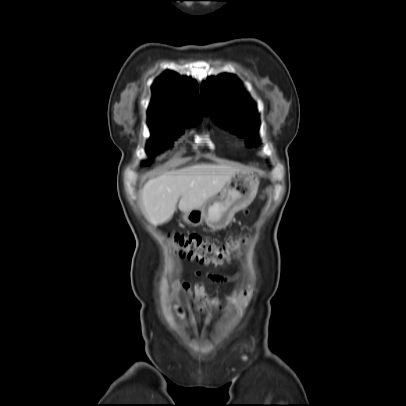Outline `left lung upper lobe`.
<instances>
[{
	"label": "left lung upper lobe",
	"instance_id": "1",
	"mask_svg": "<svg viewBox=\"0 0 406 406\" xmlns=\"http://www.w3.org/2000/svg\"><path fill=\"white\" fill-rule=\"evenodd\" d=\"M201 99L206 115H212L219 126L247 136L248 147L257 144L254 136L259 122L255 106L238 88L234 76L223 74L207 79L201 87Z\"/></svg>",
	"mask_w": 406,
	"mask_h": 406
}]
</instances>
